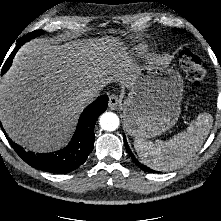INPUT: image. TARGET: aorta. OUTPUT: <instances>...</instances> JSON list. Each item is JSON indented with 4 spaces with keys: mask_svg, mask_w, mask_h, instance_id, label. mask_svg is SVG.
<instances>
[{
    "mask_svg": "<svg viewBox=\"0 0 221 221\" xmlns=\"http://www.w3.org/2000/svg\"><path fill=\"white\" fill-rule=\"evenodd\" d=\"M119 118L113 112H105L100 116L99 124L103 130L114 131L119 127Z\"/></svg>",
    "mask_w": 221,
    "mask_h": 221,
    "instance_id": "1",
    "label": "aorta"
}]
</instances>
